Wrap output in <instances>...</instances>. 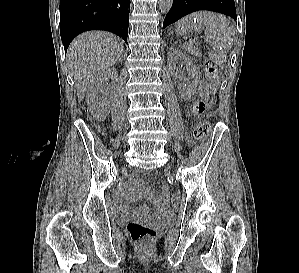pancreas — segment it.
Listing matches in <instances>:
<instances>
[{"label": "pancreas", "mask_w": 299, "mask_h": 273, "mask_svg": "<svg viewBox=\"0 0 299 273\" xmlns=\"http://www.w3.org/2000/svg\"><path fill=\"white\" fill-rule=\"evenodd\" d=\"M187 50L189 51V52H191L193 55H195V56H200V52H199V50L198 49H196L195 47H193V46H188L187 47Z\"/></svg>", "instance_id": "cf45deb5"}]
</instances>
